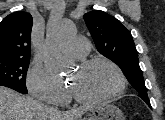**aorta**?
Instances as JSON below:
<instances>
[{
	"mask_svg": "<svg viewBox=\"0 0 165 120\" xmlns=\"http://www.w3.org/2000/svg\"><path fill=\"white\" fill-rule=\"evenodd\" d=\"M74 25L70 20L51 19L47 27V36L43 47V56L49 69L61 73L67 63L60 55V49L68 37L73 35Z\"/></svg>",
	"mask_w": 165,
	"mask_h": 120,
	"instance_id": "aorta-1",
	"label": "aorta"
}]
</instances>
